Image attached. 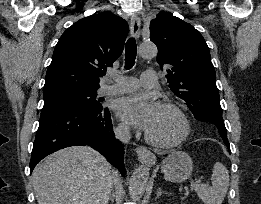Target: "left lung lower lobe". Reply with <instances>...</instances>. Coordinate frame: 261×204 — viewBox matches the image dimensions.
<instances>
[{
	"instance_id": "left-lung-lower-lobe-1",
	"label": "left lung lower lobe",
	"mask_w": 261,
	"mask_h": 204,
	"mask_svg": "<svg viewBox=\"0 0 261 204\" xmlns=\"http://www.w3.org/2000/svg\"><path fill=\"white\" fill-rule=\"evenodd\" d=\"M222 138H223V140H224V143L228 146V148H230V147H229V142H228V140H227V136H223Z\"/></svg>"
}]
</instances>
